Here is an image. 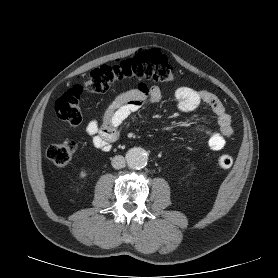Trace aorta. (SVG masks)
Segmentation results:
<instances>
[{
	"label": "aorta",
	"instance_id": "1",
	"mask_svg": "<svg viewBox=\"0 0 278 278\" xmlns=\"http://www.w3.org/2000/svg\"><path fill=\"white\" fill-rule=\"evenodd\" d=\"M127 165L131 169H142L147 165L148 154L141 147H134L128 150L126 153Z\"/></svg>",
	"mask_w": 278,
	"mask_h": 278
}]
</instances>
